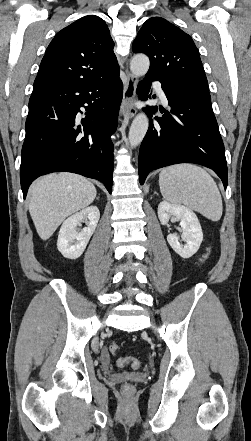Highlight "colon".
Here are the masks:
<instances>
[{"label": "colon", "instance_id": "1", "mask_svg": "<svg viewBox=\"0 0 251 441\" xmlns=\"http://www.w3.org/2000/svg\"><path fill=\"white\" fill-rule=\"evenodd\" d=\"M210 251L203 257L202 261H205L209 257ZM119 349V346L117 343H111L109 345V351L113 354H115ZM117 364L119 366H131L132 368H138L140 366V361L137 358L134 357H125L121 358L117 361ZM123 391L126 393H131L133 391V387L130 384H125L123 386Z\"/></svg>", "mask_w": 251, "mask_h": 441}]
</instances>
